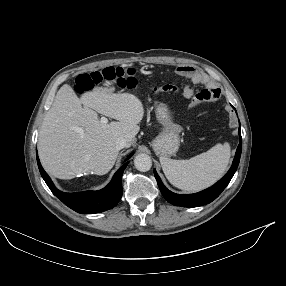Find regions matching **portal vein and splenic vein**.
Returning a JSON list of instances; mask_svg holds the SVG:
<instances>
[{"label":"portal vein and splenic vein","instance_id":"18ae733b","mask_svg":"<svg viewBox=\"0 0 286 286\" xmlns=\"http://www.w3.org/2000/svg\"><path fill=\"white\" fill-rule=\"evenodd\" d=\"M101 122H102L103 124H106V123L108 122V119H107L106 117H102V118H101Z\"/></svg>","mask_w":286,"mask_h":286}]
</instances>
